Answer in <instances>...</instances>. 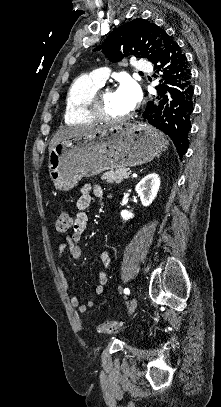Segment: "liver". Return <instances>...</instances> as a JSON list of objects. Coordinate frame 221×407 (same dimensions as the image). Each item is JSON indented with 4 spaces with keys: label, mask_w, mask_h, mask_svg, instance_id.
<instances>
[{
    "label": "liver",
    "mask_w": 221,
    "mask_h": 407,
    "mask_svg": "<svg viewBox=\"0 0 221 407\" xmlns=\"http://www.w3.org/2000/svg\"><path fill=\"white\" fill-rule=\"evenodd\" d=\"M106 126H74L59 129L51 139L49 144V152L54 148V146L68 138L78 137L82 135H92L103 129H106Z\"/></svg>",
    "instance_id": "1"
}]
</instances>
